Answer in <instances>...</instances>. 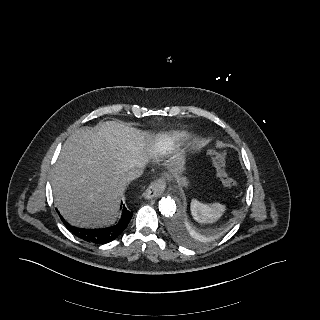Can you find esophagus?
I'll return each instance as SVG.
<instances>
[{"label": "esophagus", "instance_id": "obj_1", "mask_svg": "<svg viewBox=\"0 0 320 320\" xmlns=\"http://www.w3.org/2000/svg\"><path fill=\"white\" fill-rule=\"evenodd\" d=\"M166 188L165 181L161 178L153 181L144 192L146 199L160 197Z\"/></svg>", "mask_w": 320, "mask_h": 320}]
</instances>
